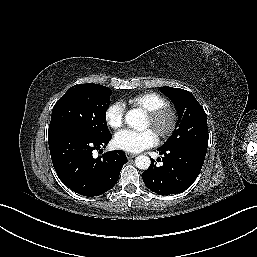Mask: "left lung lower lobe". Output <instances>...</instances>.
<instances>
[{
    "label": "left lung lower lobe",
    "mask_w": 257,
    "mask_h": 257,
    "mask_svg": "<svg viewBox=\"0 0 257 257\" xmlns=\"http://www.w3.org/2000/svg\"><path fill=\"white\" fill-rule=\"evenodd\" d=\"M163 165L157 167L154 160L142 173L145 185L160 195L178 194L187 190L196 180L204 163L205 150L194 147L157 149Z\"/></svg>",
    "instance_id": "obj_1"
}]
</instances>
